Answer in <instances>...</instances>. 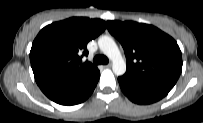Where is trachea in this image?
<instances>
[{
	"label": "trachea",
	"instance_id": "obj_1",
	"mask_svg": "<svg viewBox=\"0 0 203 123\" xmlns=\"http://www.w3.org/2000/svg\"><path fill=\"white\" fill-rule=\"evenodd\" d=\"M109 62L108 58L104 55H96L93 59V63L98 64H107Z\"/></svg>",
	"mask_w": 203,
	"mask_h": 123
}]
</instances>
